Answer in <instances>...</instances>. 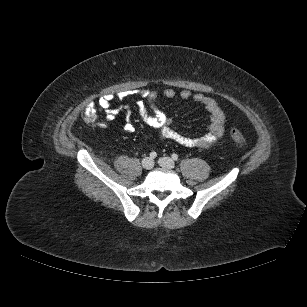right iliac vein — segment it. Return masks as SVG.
Segmentation results:
<instances>
[{
    "mask_svg": "<svg viewBox=\"0 0 307 307\" xmlns=\"http://www.w3.org/2000/svg\"><path fill=\"white\" fill-rule=\"evenodd\" d=\"M154 166V162L151 158L146 157L142 160V167L146 170L152 169Z\"/></svg>",
    "mask_w": 307,
    "mask_h": 307,
    "instance_id": "right-iliac-vein-1",
    "label": "right iliac vein"
}]
</instances>
